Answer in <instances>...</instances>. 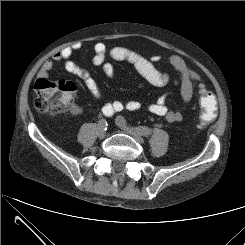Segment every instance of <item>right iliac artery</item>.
Wrapping results in <instances>:
<instances>
[{
  "mask_svg": "<svg viewBox=\"0 0 245 245\" xmlns=\"http://www.w3.org/2000/svg\"><path fill=\"white\" fill-rule=\"evenodd\" d=\"M102 111H103V110H102ZM103 114L106 115V116H109V114H108L107 112H105V111H103ZM99 125L103 126V127L105 128V130H106L107 122H106L105 119H101V120L99 121Z\"/></svg>",
  "mask_w": 245,
  "mask_h": 245,
  "instance_id": "right-iliac-artery-1",
  "label": "right iliac artery"
}]
</instances>
